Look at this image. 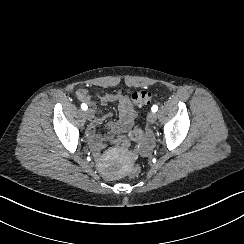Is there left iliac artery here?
I'll list each match as a JSON object with an SVG mask.
<instances>
[{
    "mask_svg": "<svg viewBox=\"0 0 244 244\" xmlns=\"http://www.w3.org/2000/svg\"><path fill=\"white\" fill-rule=\"evenodd\" d=\"M151 110H152V112H156L158 110V106L157 105H153Z\"/></svg>",
    "mask_w": 244,
    "mask_h": 244,
    "instance_id": "44dca946",
    "label": "left iliac artery"
}]
</instances>
